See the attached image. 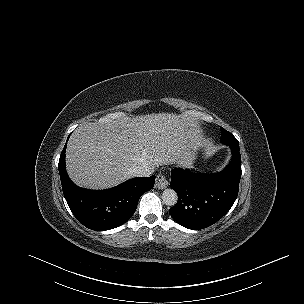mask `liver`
I'll use <instances>...</instances> for the list:
<instances>
[{"instance_id": "1", "label": "liver", "mask_w": 304, "mask_h": 304, "mask_svg": "<svg viewBox=\"0 0 304 304\" xmlns=\"http://www.w3.org/2000/svg\"><path fill=\"white\" fill-rule=\"evenodd\" d=\"M199 139L192 120L169 113L126 117L108 126L89 124L71 135L66 167L77 185L106 189L132 178L131 171L142 164L190 165Z\"/></svg>"}]
</instances>
